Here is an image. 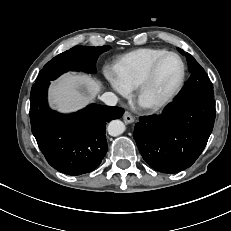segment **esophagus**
<instances>
[{
    "label": "esophagus",
    "mask_w": 231,
    "mask_h": 231,
    "mask_svg": "<svg viewBox=\"0 0 231 231\" xmlns=\"http://www.w3.org/2000/svg\"><path fill=\"white\" fill-rule=\"evenodd\" d=\"M123 119L126 123H132L134 122V117L129 113V112H125L123 115Z\"/></svg>",
    "instance_id": "esophagus-1"
}]
</instances>
